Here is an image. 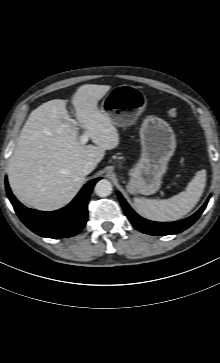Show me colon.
I'll list each match as a JSON object with an SVG mask.
<instances>
[{"label": "colon", "mask_w": 220, "mask_h": 363, "mask_svg": "<svg viewBox=\"0 0 220 363\" xmlns=\"http://www.w3.org/2000/svg\"><path fill=\"white\" fill-rule=\"evenodd\" d=\"M168 114L171 118H175L177 115V111L175 109H170Z\"/></svg>", "instance_id": "5ec220e1"}]
</instances>
